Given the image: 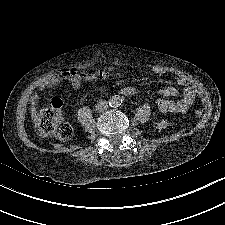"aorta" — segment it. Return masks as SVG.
I'll return each instance as SVG.
<instances>
[{
  "label": "aorta",
  "mask_w": 225,
  "mask_h": 225,
  "mask_svg": "<svg viewBox=\"0 0 225 225\" xmlns=\"http://www.w3.org/2000/svg\"><path fill=\"white\" fill-rule=\"evenodd\" d=\"M109 105L111 107H118L121 105V98L118 95H115L110 98Z\"/></svg>",
  "instance_id": "aorta-1"
}]
</instances>
